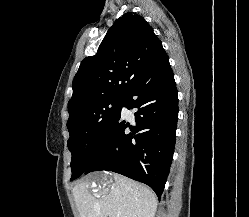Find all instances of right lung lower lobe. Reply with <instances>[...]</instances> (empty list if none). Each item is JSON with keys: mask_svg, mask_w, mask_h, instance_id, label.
<instances>
[{"mask_svg": "<svg viewBox=\"0 0 249 217\" xmlns=\"http://www.w3.org/2000/svg\"><path fill=\"white\" fill-rule=\"evenodd\" d=\"M135 121L120 115L86 158L84 172L111 170L150 186L160 199L173 159L178 92L166 53L125 96ZM130 130L131 132H128Z\"/></svg>", "mask_w": 249, "mask_h": 217, "instance_id": "1", "label": "right lung lower lobe"}]
</instances>
